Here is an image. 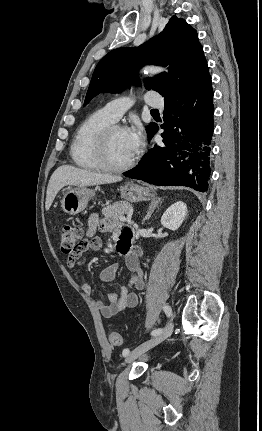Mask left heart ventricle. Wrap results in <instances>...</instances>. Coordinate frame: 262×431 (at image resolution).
Wrapping results in <instances>:
<instances>
[{"instance_id":"1","label":"left heart ventricle","mask_w":262,"mask_h":431,"mask_svg":"<svg viewBox=\"0 0 262 431\" xmlns=\"http://www.w3.org/2000/svg\"><path fill=\"white\" fill-rule=\"evenodd\" d=\"M108 156L113 165L125 164L134 156L125 130H117L112 134L108 145Z\"/></svg>"}]
</instances>
